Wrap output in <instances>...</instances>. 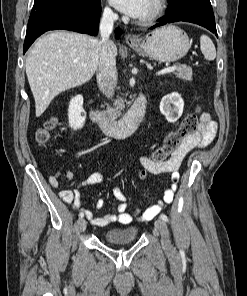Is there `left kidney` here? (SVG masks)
<instances>
[{
  "label": "left kidney",
  "mask_w": 247,
  "mask_h": 296,
  "mask_svg": "<svg viewBox=\"0 0 247 296\" xmlns=\"http://www.w3.org/2000/svg\"><path fill=\"white\" fill-rule=\"evenodd\" d=\"M183 108L184 101L178 93L164 96L160 102V112L170 123H175L181 117Z\"/></svg>",
  "instance_id": "obj_1"
}]
</instances>
